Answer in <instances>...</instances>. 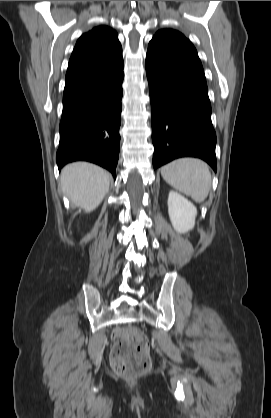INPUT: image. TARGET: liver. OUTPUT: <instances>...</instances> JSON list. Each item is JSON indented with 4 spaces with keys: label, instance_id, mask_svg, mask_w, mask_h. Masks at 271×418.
Masks as SVG:
<instances>
[{
    "label": "liver",
    "instance_id": "liver-1",
    "mask_svg": "<svg viewBox=\"0 0 271 418\" xmlns=\"http://www.w3.org/2000/svg\"><path fill=\"white\" fill-rule=\"evenodd\" d=\"M110 178V174L97 165L75 162L62 169L60 184L64 195L74 205L91 212L108 193Z\"/></svg>",
    "mask_w": 271,
    "mask_h": 418
}]
</instances>
